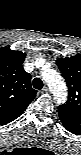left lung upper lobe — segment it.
Wrapping results in <instances>:
<instances>
[{"mask_svg": "<svg viewBox=\"0 0 81 155\" xmlns=\"http://www.w3.org/2000/svg\"><path fill=\"white\" fill-rule=\"evenodd\" d=\"M56 64L69 89L68 100L58 107V110L67 115L81 119V56L59 58Z\"/></svg>", "mask_w": 81, "mask_h": 155, "instance_id": "obj_1", "label": "left lung upper lobe"}]
</instances>
